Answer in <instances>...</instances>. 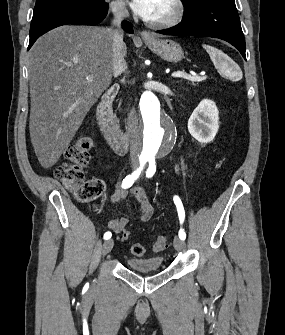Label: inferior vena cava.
Listing matches in <instances>:
<instances>
[{
  "mask_svg": "<svg viewBox=\"0 0 285 335\" xmlns=\"http://www.w3.org/2000/svg\"><path fill=\"white\" fill-rule=\"evenodd\" d=\"M111 12L113 14V20L111 28H108V32H111L113 38V72L114 74H122L127 68L126 60H124L123 50L126 48L123 42V34L121 30V22L123 18H128V10L125 8V4L116 0V2H111L110 4ZM127 132L130 138V152L132 156H135L137 152V126H138V116L136 114L135 108L130 110L128 114V124Z\"/></svg>",
  "mask_w": 285,
  "mask_h": 335,
  "instance_id": "obj_1",
  "label": "inferior vena cava"
}]
</instances>
